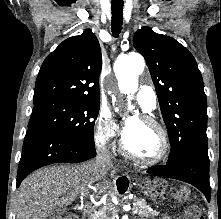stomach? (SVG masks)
<instances>
[{"label": "stomach", "mask_w": 221, "mask_h": 219, "mask_svg": "<svg viewBox=\"0 0 221 219\" xmlns=\"http://www.w3.org/2000/svg\"><path fill=\"white\" fill-rule=\"evenodd\" d=\"M171 178H145L142 186L143 192L150 199H171V194H166V183H171Z\"/></svg>", "instance_id": "stomach-1"}]
</instances>
